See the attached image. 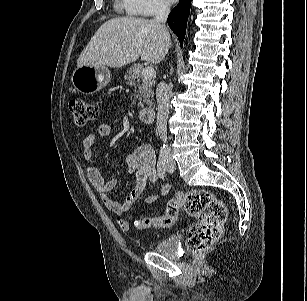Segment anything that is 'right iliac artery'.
Instances as JSON below:
<instances>
[{"instance_id": "82829eb1", "label": "right iliac artery", "mask_w": 307, "mask_h": 301, "mask_svg": "<svg viewBox=\"0 0 307 301\" xmlns=\"http://www.w3.org/2000/svg\"><path fill=\"white\" fill-rule=\"evenodd\" d=\"M167 162H168V150H167V148L165 146H163L160 149L158 165H157L159 176L163 180L165 178V171H166Z\"/></svg>"}]
</instances>
